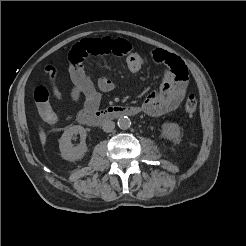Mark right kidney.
Masks as SVG:
<instances>
[{
  "mask_svg": "<svg viewBox=\"0 0 246 246\" xmlns=\"http://www.w3.org/2000/svg\"><path fill=\"white\" fill-rule=\"evenodd\" d=\"M77 134L80 135L81 142L78 146L73 147L71 139L74 135ZM85 139L86 130L84 129V127L80 125L68 127L59 140V148L61 151L62 158L68 161H75L81 159L88 151Z\"/></svg>",
  "mask_w": 246,
  "mask_h": 246,
  "instance_id": "right-kidney-1",
  "label": "right kidney"
}]
</instances>
